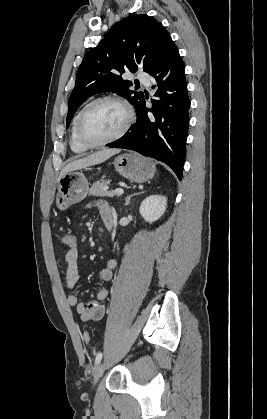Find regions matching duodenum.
Here are the masks:
<instances>
[{"instance_id":"duodenum-1","label":"duodenum","mask_w":267,"mask_h":419,"mask_svg":"<svg viewBox=\"0 0 267 419\" xmlns=\"http://www.w3.org/2000/svg\"><path fill=\"white\" fill-rule=\"evenodd\" d=\"M104 225H105V228H106L107 230H111V229H112V227H113V221H112L111 219H106V220L104 221Z\"/></svg>"}]
</instances>
